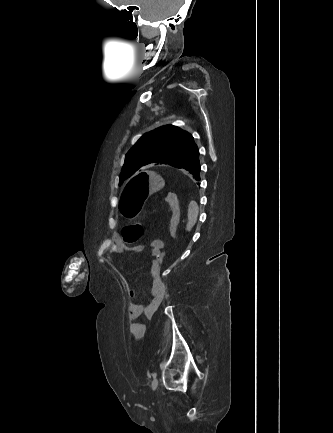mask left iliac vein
<instances>
[{
	"mask_svg": "<svg viewBox=\"0 0 333 433\" xmlns=\"http://www.w3.org/2000/svg\"><path fill=\"white\" fill-rule=\"evenodd\" d=\"M152 389L156 390L157 386H158V379L155 377L152 381Z\"/></svg>",
	"mask_w": 333,
	"mask_h": 433,
	"instance_id": "4c4485c4",
	"label": "left iliac vein"
}]
</instances>
